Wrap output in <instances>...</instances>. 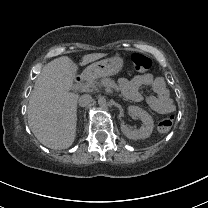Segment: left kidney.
<instances>
[{
    "label": "left kidney",
    "instance_id": "left-kidney-1",
    "mask_svg": "<svg viewBox=\"0 0 208 208\" xmlns=\"http://www.w3.org/2000/svg\"><path fill=\"white\" fill-rule=\"evenodd\" d=\"M127 111L129 114H133L139 117L142 121L140 130H130L125 122H121L122 133L131 140L146 139L153 131V119L146 111L137 106H128Z\"/></svg>",
    "mask_w": 208,
    "mask_h": 208
}]
</instances>
